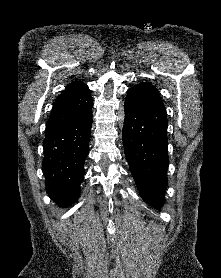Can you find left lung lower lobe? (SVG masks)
<instances>
[{"label": "left lung lower lobe", "instance_id": "0a47b994", "mask_svg": "<svg viewBox=\"0 0 221 278\" xmlns=\"http://www.w3.org/2000/svg\"><path fill=\"white\" fill-rule=\"evenodd\" d=\"M123 145L136 186L147 203L162 207L167 187V117L162 107L146 109L125 101Z\"/></svg>", "mask_w": 221, "mask_h": 278}]
</instances>
